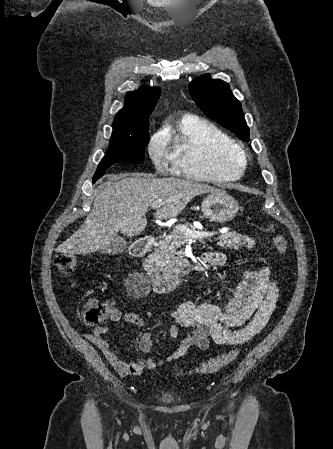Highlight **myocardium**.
I'll return each mask as SVG.
<instances>
[{"label": "myocardium", "mask_w": 333, "mask_h": 449, "mask_svg": "<svg viewBox=\"0 0 333 449\" xmlns=\"http://www.w3.org/2000/svg\"><path fill=\"white\" fill-rule=\"evenodd\" d=\"M236 149L240 155L244 156V152L242 151V149L240 147L236 146Z\"/></svg>", "instance_id": "myocardium-1"}]
</instances>
